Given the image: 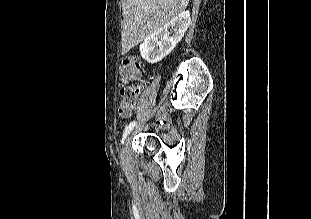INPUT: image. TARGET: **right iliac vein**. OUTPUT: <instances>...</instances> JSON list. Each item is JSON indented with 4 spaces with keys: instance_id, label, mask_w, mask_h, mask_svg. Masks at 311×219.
<instances>
[{
    "instance_id": "right-iliac-vein-1",
    "label": "right iliac vein",
    "mask_w": 311,
    "mask_h": 219,
    "mask_svg": "<svg viewBox=\"0 0 311 219\" xmlns=\"http://www.w3.org/2000/svg\"><path fill=\"white\" fill-rule=\"evenodd\" d=\"M129 143H130V136L124 142V146L121 152V161L122 163H126L128 160V151H129Z\"/></svg>"
}]
</instances>
